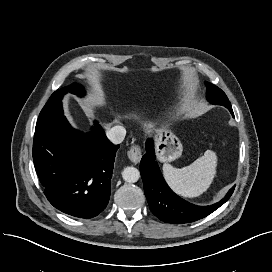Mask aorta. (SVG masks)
Segmentation results:
<instances>
[{
	"instance_id": "1",
	"label": "aorta",
	"mask_w": 272,
	"mask_h": 272,
	"mask_svg": "<svg viewBox=\"0 0 272 272\" xmlns=\"http://www.w3.org/2000/svg\"><path fill=\"white\" fill-rule=\"evenodd\" d=\"M123 179L128 183H135L140 178V172L135 167H126L122 172Z\"/></svg>"
}]
</instances>
